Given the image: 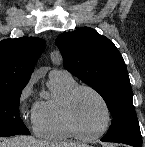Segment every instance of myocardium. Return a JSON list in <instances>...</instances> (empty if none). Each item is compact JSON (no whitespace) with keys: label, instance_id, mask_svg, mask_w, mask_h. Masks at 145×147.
<instances>
[{"label":"myocardium","instance_id":"obj_1","mask_svg":"<svg viewBox=\"0 0 145 147\" xmlns=\"http://www.w3.org/2000/svg\"><path fill=\"white\" fill-rule=\"evenodd\" d=\"M81 91H89L92 94H94L101 104L104 107L105 113H106V122L104 127L94 133H89L86 132L78 123L75 113H74V101L77 97V95ZM63 110H64V115L66 118V121L68 122L69 126L71 129L81 138L83 139H95L100 136H102L104 133H106L111 125L112 122V112L111 108L106 100V98L94 87L89 86V85H77L74 87L70 93L66 96L64 103H63Z\"/></svg>","mask_w":145,"mask_h":147}]
</instances>
